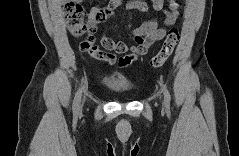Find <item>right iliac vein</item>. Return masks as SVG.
<instances>
[{
  "mask_svg": "<svg viewBox=\"0 0 239 156\" xmlns=\"http://www.w3.org/2000/svg\"><path fill=\"white\" fill-rule=\"evenodd\" d=\"M82 105H83V103L80 105L79 109H81V108H82Z\"/></svg>",
  "mask_w": 239,
  "mask_h": 156,
  "instance_id": "1",
  "label": "right iliac vein"
}]
</instances>
